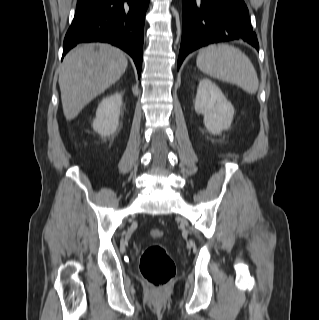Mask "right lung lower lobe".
<instances>
[{
    "instance_id": "98d812e1",
    "label": "right lung lower lobe",
    "mask_w": 319,
    "mask_h": 320,
    "mask_svg": "<svg viewBox=\"0 0 319 320\" xmlns=\"http://www.w3.org/2000/svg\"><path fill=\"white\" fill-rule=\"evenodd\" d=\"M149 0H77L63 56L80 42H108L126 51L140 76L145 13Z\"/></svg>"
}]
</instances>
